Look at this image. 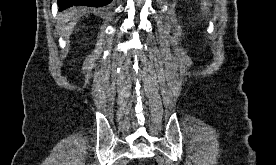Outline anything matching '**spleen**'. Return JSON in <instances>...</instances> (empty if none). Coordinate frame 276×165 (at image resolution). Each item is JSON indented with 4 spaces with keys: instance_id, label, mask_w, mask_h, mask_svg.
I'll list each match as a JSON object with an SVG mask.
<instances>
[{
    "instance_id": "spleen-1",
    "label": "spleen",
    "mask_w": 276,
    "mask_h": 165,
    "mask_svg": "<svg viewBox=\"0 0 276 165\" xmlns=\"http://www.w3.org/2000/svg\"><path fill=\"white\" fill-rule=\"evenodd\" d=\"M201 5H202V11H204V10H206L207 9V6L209 5V3H207L205 0H203V2H202V0H201Z\"/></svg>"
}]
</instances>
